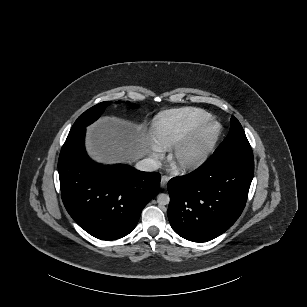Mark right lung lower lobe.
<instances>
[{
  "label": "right lung lower lobe",
  "instance_id": "right-lung-lower-lobe-1",
  "mask_svg": "<svg viewBox=\"0 0 307 307\" xmlns=\"http://www.w3.org/2000/svg\"><path fill=\"white\" fill-rule=\"evenodd\" d=\"M86 127L68 135L58 161L62 200L75 222L92 236L115 240L137 225L157 194L160 174L127 165L93 162L84 146Z\"/></svg>",
  "mask_w": 307,
  "mask_h": 307
}]
</instances>
